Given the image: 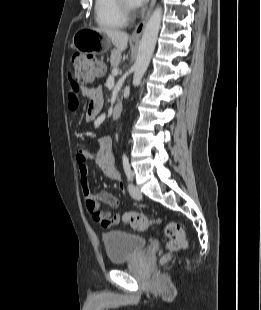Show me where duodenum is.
<instances>
[{"label":"duodenum","instance_id":"duodenum-1","mask_svg":"<svg viewBox=\"0 0 261 310\" xmlns=\"http://www.w3.org/2000/svg\"><path fill=\"white\" fill-rule=\"evenodd\" d=\"M121 112H122V105L121 103H116L113 107V110H112V116L114 119H117L120 117L121 115Z\"/></svg>","mask_w":261,"mask_h":310}]
</instances>
